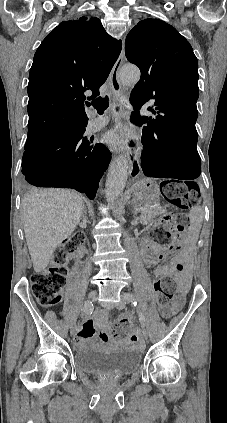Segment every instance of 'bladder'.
<instances>
[{"label":"bladder","mask_w":227,"mask_h":423,"mask_svg":"<svg viewBox=\"0 0 227 423\" xmlns=\"http://www.w3.org/2000/svg\"><path fill=\"white\" fill-rule=\"evenodd\" d=\"M74 365L85 375L104 379L129 378L142 363V351L117 349L111 351L90 349L74 353Z\"/></svg>","instance_id":"obj_1"}]
</instances>
